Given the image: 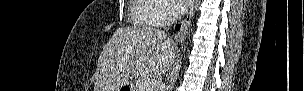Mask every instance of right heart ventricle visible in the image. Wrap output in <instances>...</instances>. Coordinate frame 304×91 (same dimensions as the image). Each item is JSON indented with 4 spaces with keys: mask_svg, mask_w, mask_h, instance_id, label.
Returning a JSON list of instances; mask_svg holds the SVG:
<instances>
[{
    "mask_svg": "<svg viewBox=\"0 0 304 91\" xmlns=\"http://www.w3.org/2000/svg\"><path fill=\"white\" fill-rule=\"evenodd\" d=\"M157 5L150 0H133L130 6V17L135 25L142 27H153L156 23L153 16Z\"/></svg>",
    "mask_w": 304,
    "mask_h": 91,
    "instance_id": "obj_1",
    "label": "right heart ventricle"
}]
</instances>
